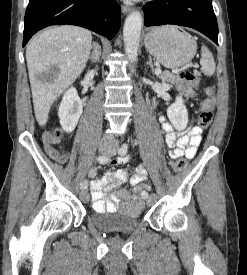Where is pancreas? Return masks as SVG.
I'll list each match as a JSON object with an SVG mask.
<instances>
[{"label": "pancreas", "instance_id": "obj_1", "mask_svg": "<svg viewBox=\"0 0 247 275\" xmlns=\"http://www.w3.org/2000/svg\"><path fill=\"white\" fill-rule=\"evenodd\" d=\"M159 78L162 80V81H165V82H168V83H171V84H174L175 81H176V76L169 72V71H164L160 76Z\"/></svg>", "mask_w": 247, "mask_h": 275}]
</instances>
